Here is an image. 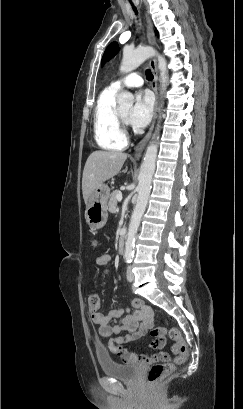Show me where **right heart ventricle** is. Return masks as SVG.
Here are the masks:
<instances>
[{
	"label": "right heart ventricle",
	"instance_id": "obj_1",
	"mask_svg": "<svg viewBox=\"0 0 243 409\" xmlns=\"http://www.w3.org/2000/svg\"><path fill=\"white\" fill-rule=\"evenodd\" d=\"M116 95L117 90L110 86L105 88L98 98L94 113L95 140L106 150H122L127 145L116 116Z\"/></svg>",
	"mask_w": 243,
	"mask_h": 409
}]
</instances>
